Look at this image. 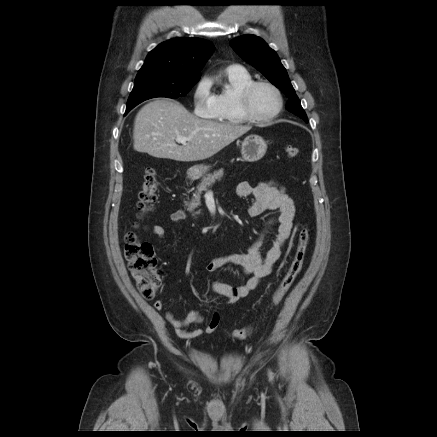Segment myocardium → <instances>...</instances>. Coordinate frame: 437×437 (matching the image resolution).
<instances>
[{
	"instance_id": "obj_1",
	"label": "myocardium",
	"mask_w": 437,
	"mask_h": 437,
	"mask_svg": "<svg viewBox=\"0 0 437 437\" xmlns=\"http://www.w3.org/2000/svg\"><path fill=\"white\" fill-rule=\"evenodd\" d=\"M260 86H266L270 88L275 93L278 102L276 110L271 115L266 117H260L256 115L253 112L251 105L252 95L254 91ZM239 104L242 114L248 121L255 123H267L279 116L283 109L284 102L281 91L275 84L265 80H258L252 81L241 91L239 96Z\"/></svg>"
}]
</instances>
